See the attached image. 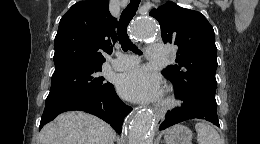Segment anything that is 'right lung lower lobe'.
Masks as SVG:
<instances>
[{"mask_svg": "<svg viewBox=\"0 0 260 144\" xmlns=\"http://www.w3.org/2000/svg\"><path fill=\"white\" fill-rule=\"evenodd\" d=\"M80 110L96 115L109 123L120 134L124 117L132 108L125 105L117 96L114 87L95 96H62L46 99L45 109L39 129L53 120L57 115L66 111ZM122 112L121 115H118Z\"/></svg>", "mask_w": 260, "mask_h": 144, "instance_id": "right-lung-lower-lobe-1", "label": "right lung lower lobe"}]
</instances>
